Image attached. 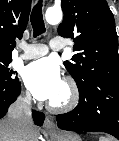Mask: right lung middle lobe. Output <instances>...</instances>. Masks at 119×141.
<instances>
[{"label":"right lung middle lobe","instance_id":"right-lung-middle-lobe-1","mask_svg":"<svg viewBox=\"0 0 119 141\" xmlns=\"http://www.w3.org/2000/svg\"><path fill=\"white\" fill-rule=\"evenodd\" d=\"M11 61L12 57L0 58V85L5 87L18 81L15 72L9 66Z\"/></svg>","mask_w":119,"mask_h":141}]
</instances>
